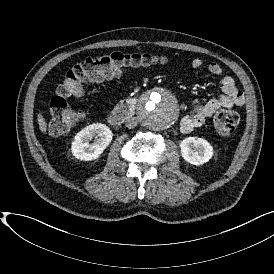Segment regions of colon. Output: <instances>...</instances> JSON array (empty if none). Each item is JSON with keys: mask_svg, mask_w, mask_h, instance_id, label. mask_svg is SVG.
<instances>
[{"mask_svg": "<svg viewBox=\"0 0 274 274\" xmlns=\"http://www.w3.org/2000/svg\"><path fill=\"white\" fill-rule=\"evenodd\" d=\"M163 62L164 57L158 55L112 52L103 56L87 57L74 65L60 81L56 94L50 100L49 135H65L78 123L80 112L68 105L69 97L82 96L88 85L119 78L130 67ZM238 125L239 115L235 111L220 110L214 117V127L219 134L229 135Z\"/></svg>", "mask_w": 274, "mask_h": 274, "instance_id": "5ec220e1", "label": "colon"}]
</instances>
